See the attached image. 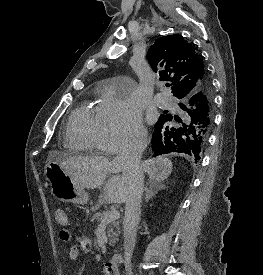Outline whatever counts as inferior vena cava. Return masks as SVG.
Instances as JSON below:
<instances>
[{
	"instance_id": "1",
	"label": "inferior vena cava",
	"mask_w": 263,
	"mask_h": 275,
	"mask_svg": "<svg viewBox=\"0 0 263 275\" xmlns=\"http://www.w3.org/2000/svg\"><path fill=\"white\" fill-rule=\"evenodd\" d=\"M148 144L147 136L142 135L125 143L115 158L127 181L128 192L125 200L124 264L126 275H133L131 258L136 244L137 227L140 222L141 200L143 193V171L140 164L142 153Z\"/></svg>"
}]
</instances>
